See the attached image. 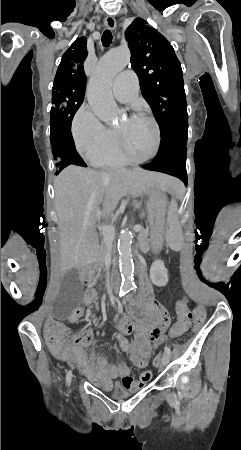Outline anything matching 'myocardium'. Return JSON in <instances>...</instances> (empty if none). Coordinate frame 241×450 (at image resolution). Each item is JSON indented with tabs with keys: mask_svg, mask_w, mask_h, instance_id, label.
<instances>
[{
	"mask_svg": "<svg viewBox=\"0 0 241 450\" xmlns=\"http://www.w3.org/2000/svg\"><path fill=\"white\" fill-rule=\"evenodd\" d=\"M152 125H153V127L156 128V127H158L159 124H158V122L155 121V122H153ZM124 133H125V130L123 128L118 129L116 141H117V143H119V146H118L119 149L122 150V152H120V157H125L128 159V158H130V156L127 152V148H124L125 147L124 146L125 140L123 138ZM154 135H155V138L152 141L154 148L152 149V152H151L153 158L158 156L157 149L160 148L159 142H161V140H162L160 137L161 130H155ZM142 162H147V160H142Z\"/></svg>",
	"mask_w": 241,
	"mask_h": 450,
	"instance_id": "1",
	"label": "myocardium"
}]
</instances>
